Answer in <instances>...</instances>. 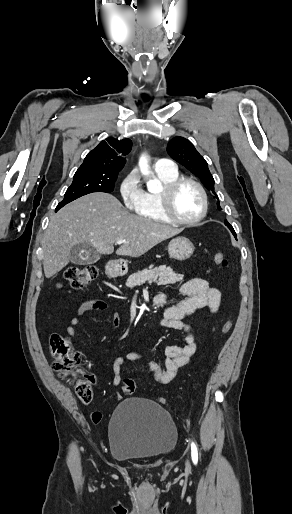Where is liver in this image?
I'll return each mask as SVG.
<instances>
[{
  "instance_id": "liver-1",
  "label": "liver",
  "mask_w": 292,
  "mask_h": 514,
  "mask_svg": "<svg viewBox=\"0 0 292 514\" xmlns=\"http://www.w3.org/2000/svg\"><path fill=\"white\" fill-rule=\"evenodd\" d=\"M182 230L130 214L111 194H87L50 216L42 246L44 274L52 278L65 268L76 244H89L98 254H113V244L126 240L117 256L138 258Z\"/></svg>"
}]
</instances>
